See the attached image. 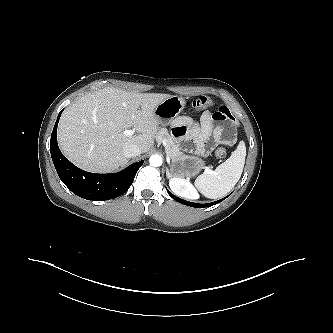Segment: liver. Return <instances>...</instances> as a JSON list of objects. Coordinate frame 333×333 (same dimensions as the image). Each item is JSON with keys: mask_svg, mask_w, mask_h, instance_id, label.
I'll return each mask as SVG.
<instances>
[{"mask_svg": "<svg viewBox=\"0 0 333 333\" xmlns=\"http://www.w3.org/2000/svg\"><path fill=\"white\" fill-rule=\"evenodd\" d=\"M170 96L112 87L86 94L62 114L58 125L59 146L83 170L114 171L127 162L123 153L127 145L139 146L142 153L152 148L159 134L154 110ZM129 128L139 134L125 136L123 132Z\"/></svg>", "mask_w": 333, "mask_h": 333, "instance_id": "liver-1", "label": "liver"}]
</instances>
